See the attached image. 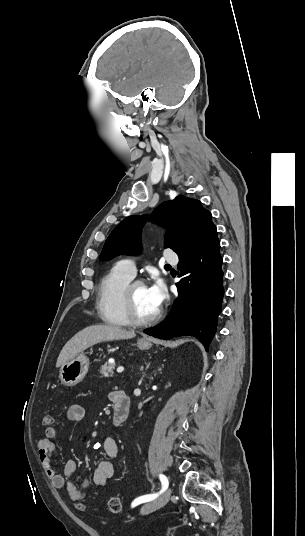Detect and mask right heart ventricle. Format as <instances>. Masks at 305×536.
<instances>
[{
	"instance_id": "e07e8e85",
	"label": "right heart ventricle",
	"mask_w": 305,
	"mask_h": 536,
	"mask_svg": "<svg viewBox=\"0 0 305 536\" xmlns=\"http://www.w3.org/2000/svg\"><path fill=\"white\" fill-rule=\"evenodd\" d=\"M131 280L132 278L124 274L118 267H114L103 277L96 304L98 315L102 321L119 327L131 325L122 303L123 290Z\"/></svg>"
}]
</instances>
